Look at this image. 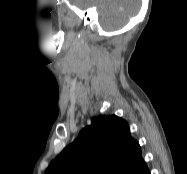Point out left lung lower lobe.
<instances>
[{"instance_id":"left-lung-lower-lobe-1","label":"left lung lower lobe","mask_w":187,"mask_h":174,"mask_svg":"<svg viewBox=\"0 0 187 174\" xmlns=\"http://www.w3.org/2000/svg\"><path fill=\"white\" fill-rule=\"evenodd\" d=\"M130 174H150V172L145 162H141L133 168Z\"/></svg>"}]
</instances>
